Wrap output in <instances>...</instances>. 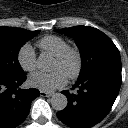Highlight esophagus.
Masks as SVG:
<instances>
[{
  "instance_id": "obj_1",
  "label": "esophagus",
  "mask_w": 128,
  "mask_h": 128,
  "mask_svg": "<svg viewBox=\"0 0 128 128\" xmlns=\"http://www.w3.org/2000/svg\"><path fill=\"white\" fill-rule=\"evenodd\" d=\"M52 94H53L52 92L40 91L41 96L51 97Z\"/></svg>"
}]
</instances>
